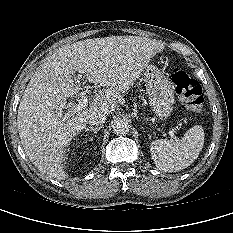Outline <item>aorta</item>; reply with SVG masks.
<instances>
[{
	"instance_id": "aorta-1",
	"label": "aorta",
	"mask_w": 233,
	"mask_h": 233,
	"mask_svg": "<svg viewBox=\"0 0 233 233\" xmlns=\"http://www.w3.org/2000/svg\"><path fill=\"white\" fill-rule=\"evenodd\" d=\"M112 128L116 135H126L130 130V123L126 119L118 118L113 122Z\"/></svg>"
}]
</instances>
